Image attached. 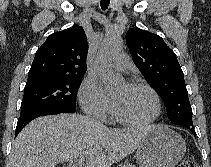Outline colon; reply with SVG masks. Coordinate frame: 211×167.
Segmentation results:
<instances>
[{"label": "colon", "mask_w": 211, "mask_h": 167, "mask_svg": "<svg viewBox=\"0 0 211 167\" xmlns=\"http://www.w3.org/2000/svg\"><path fill=\"white\" fill-rule=\"evenodd\" d=\"M178 167H198L194 157L187 155L180 162Z\"/></svg>", "instance_id": "5ec220e1"}]
</instances>
